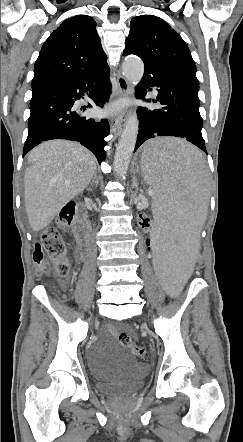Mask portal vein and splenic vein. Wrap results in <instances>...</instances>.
<instances>
[{
	"instance_id": "obj_1",
	"label": "portal vein and splenic vein",
	"mask_w": 243,
	"mask_h": 442,
	"mask_svg": "<svg viewBox=\"0 0 243 442\" xmlns=\"http://www.w3.org/2000/svg\"><path fill=\"white\" fill-rule=\"evenodd\" d=\"M148 194H149L150 196L154 195V190H149V191H148Z\"/></svg>"
}]
</instances>
